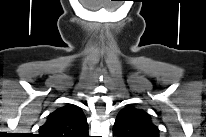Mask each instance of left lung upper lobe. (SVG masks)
<instances>
[{
	"mask_svg": "<svg viewBox=\"0 0 206 137\" xmlns=\"http://www.w3.org/2000/svg\"><path fill=\"white\" fill-rule=\"evenodd\" d=\"M113 130L121 137H159V130L150 116L133 106L119 112Z\"/></svg>",
	"mask_w": 206,
	"mask_h": 137,
	"instance_id": "1",
	"label": "left lung upper lobe"
}]
</instances>
